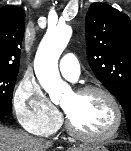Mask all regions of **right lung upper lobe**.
Listing matches in <instances>:
<instances>
[{
    "mask_svg": "<svg viewBox=\"0 0 131 151\" xmlns=\"http://www.w3.org/2000/svg\"><path fill=\"white\" fill-rule=\"evenodd\" d=\"M25 12L9 5L0 9V70H19Z\"/></svg>",
    "mask_w": 131,
    "mask_h": 151,
    "instance_id": "cb5924a9",
    "label": "right lung upper lobe"
}]
</instances>
